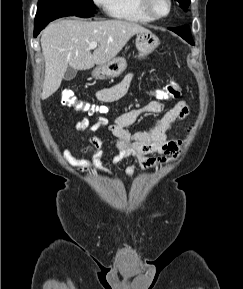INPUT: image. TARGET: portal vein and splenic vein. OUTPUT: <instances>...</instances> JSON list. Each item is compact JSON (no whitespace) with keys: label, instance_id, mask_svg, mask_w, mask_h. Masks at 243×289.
<instances>
[{"label":"portal vein and splenic vein","instance_id":"portal-vein-and-splenic-vein-1","mask_svg":"<svg viewBox=\"0 0 243 289\" xmlns=\"http://www.w3.org/2000/svg\"><path fill=\"white\" fill-rule=\"evenodd\" d=\"M97 45H98L97 42H91V43H89V48H90V49H94V48L97 47Z\"/></svg>","mask_w":243,"mask_h":289}]
</instances>
